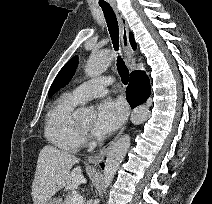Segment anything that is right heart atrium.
I'll use <instances>...</instances> for the list:
<instances>
[{"mask_svg": "<svg viewBox=\"0 0 212 204\" xmlns=\"http://www.w3.org/2000/svg\"><path fill=\"white\" fill-rule=\"evenodd\" d=\"M85 141H86L85 135H82V142H85Z\"/></svg>", "mask_w": 212, "mask_h": 204, "instance_id": "right-heart-atrium-1", "label": "right heart atrium"}]
</instances>
